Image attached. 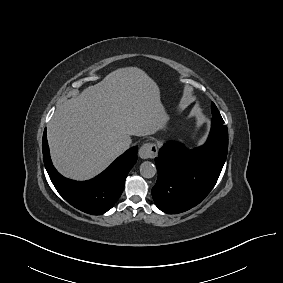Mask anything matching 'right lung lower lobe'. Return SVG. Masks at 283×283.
<instances>
[{
	"mask_svg": "<svg viewBox=\"0 0 283 283\" xmlns=\"http://www.w3.org/2000/svg\"><path fill=\"white\" fill-rule=\"evenodd\" d=\"M137 146L118 157L105 171L89 181H73L60 175L54 168L46 137L42 150L45 168L59 194L75 208L92 215H100L113 207L122 194L125 179L137 160Z\"/></svg>",
	"mask_w": 283,
	"mask_h": 283,
	"instance_id": "1",
	"label": "right lung lower lobe"
}]
</instances>
